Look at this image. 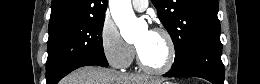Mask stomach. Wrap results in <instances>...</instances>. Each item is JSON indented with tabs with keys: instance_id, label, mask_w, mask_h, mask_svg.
Listing matches in <instances>:
<instances>
[{
	"instance_id": "obj_1",
	"label": "stomach",
	"mask_w": 260,
	"mask_h": 84,
	"mask_svg": "<svg viewBox=\"0 0 260 84\" xmlns=\"http://www.w3.org/2000/svg\"><path fill=\"white\" fill-rule=\"evenodd\" d=\"M162 84H173V83H171V82H164V83H162Z\"/></svg>"
}]
</instances>
